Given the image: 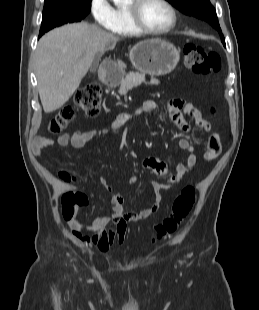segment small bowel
<instances>
[{
    "mask_svg": "<svg viewBox=\"0 0 259 310\" xmlns=\"http://www.w3.org/2000/svg\"><path fill=\"white\" fill-rule=\"evenodd\" d=\"M166 105L170 120L182 134H188L191 131V125L188 123L187 117H192L196 125L205 131H211L210 124L203 119L201 113L191 103L185 102L182 99H171L167 101ZM155 109V101L145 100L137 109L136 113H151ZM129 116L130 114L128 113L118 115L110 131L113 133L117 132ZM107 132V129H91L72 136H60L55 139L37 137L33 140L32 152L34 155L41 157L43 156L44 150L53 145L81 149L95 137L106 134ZM179 147L188 152V157L185 163L180 162L177 164L175 173H171L167 164L160 159L146 158L142 162L144 169L166 179L165 183L153 182L152 188L155 194V202L150 207L139 212H127L124 197L116 193L110 199L112 206L110 214L99 216L89 224H82L77 221L73 222L70 224L72 233L87 245L96 246L102 253H106L114 243L122 244L125 238L127 224L146 220L156 214L161 205V191L177 185L185 174L195 168L197 157L190 141L187 138H181L179 140ZM221 148L220 134L217 132L212 133L207 142V150L204 158L206 160L215 159L221 153ZM100 183L106 190L111 189V185L105 178H101ZM82 233H89V235L82 236Z\"/></svg>",
    "mask_w": 259,
    "mask_h": 310,
    "instance_id": "c3829d8e",
    "label": "small bowel"
}]
</instances>
